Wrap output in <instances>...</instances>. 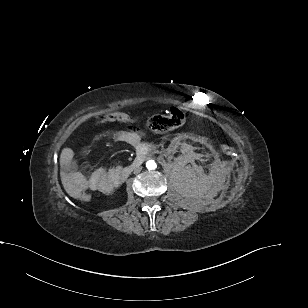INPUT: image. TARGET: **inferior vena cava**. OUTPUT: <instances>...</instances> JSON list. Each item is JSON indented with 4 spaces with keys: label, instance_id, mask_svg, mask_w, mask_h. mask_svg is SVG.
<instances>
[{
    "label": "inferior vena cava",
    "instance_id": "inferior-vena-cava-1",
    "mask_svg": "<svg viewBox=\"0 0 308 308\" xmlns=\"http://www.w3.org/2000/svg\"><path fill=\"white\" fill-rule=\"evenodd\" d=\"M140 171H141V167H138V168L135 169L136 173H139Z\"/></svg>",
    "mask_w": 308,
    "mask_h": 308
}]
</instances>
